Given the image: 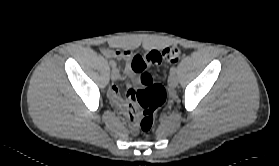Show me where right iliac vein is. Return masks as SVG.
<instances>
[{"mask_svg":"<svg viewBox=\"0 0 279 166\" xmlns=\"http://www.w3.org/2000/svg\"><path fill=\"white\" fill-rule=\"evenodd\" d=\"M119 77V72L116 68H113L111 71V79L113 81L117 80V78Z\"/></svg>","mask_w":279,"mask_h":166,"instance_id":"63e3f726","label":"right iliac vein"}]
</instances>
